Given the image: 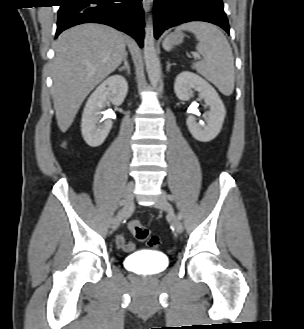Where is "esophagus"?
<instances>
[{
  "label": "esophagus",
  "mask_w": 304,
  "mask_h": 329,
  "mask_svg": "<svg viewBox=\"0 0 304 329\" xmlns=\"http://www.w3.org/2000/svg\"><path fill=\"white\" fill-rule=\"evenodd\" d=\"M152 0H143L142 5L145 12H148L151 8Z\"/></svg>",
  "instance_id": "esophagus-1"
}]
</instances>
